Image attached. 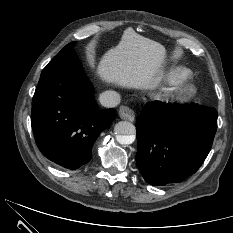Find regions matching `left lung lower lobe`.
<instances>
[{
    "label": "left lung lower lobe",
    "mask_w": 233,
    "mask_h": 233,
    "mask_svg": "<svg viewBox=\"0 0 233 233\" xmlns=\"http://www.w3.org/2000/svg\"><path fill=\"white\" fill-rule=\"evenodd\" d=\"M137 167L145 181L163 186L195 173L209 154L217 112L194 104L148 103L136 120Z\"/></svg>",
    "instance_id": "1"
}]
</instances>
